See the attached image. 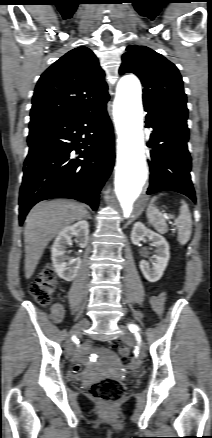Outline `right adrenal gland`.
Returning <instances> with one entry per match:
<instances>
[{
  "label": "right adrenal gland",
  "mask_w": 212,
  "mask_h": 438,
  "mask_svg": "<svg viewBox=\"0 0 212 438\" xmlns=\"http://www.w3.org/2000/svg\"><path fill=\"white\" fill-rule=\"evenodd\" d=\"M86 219H91L90 213H87Z\"/></svg>",
  "instance_id": "right-adrenal-gland-1"
}]
</instances>
